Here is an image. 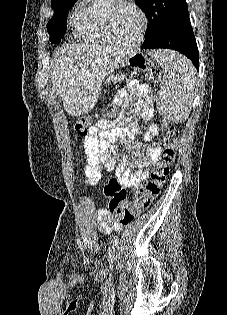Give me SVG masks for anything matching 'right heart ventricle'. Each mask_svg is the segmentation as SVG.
<instances>
[{"label": "right heart ventricle", "mask_w": 227, "mask_h": 315, "mask_svg": "<svg viewBox=\"0 0 227 315\" xmlns=\"http://www.w3.org/2000/svg\"><path fill=\"white\" fill-rule=\"evenodd\" d=\"M112 0H84L71 16L78 35L90 43L108 44L111 40L105 28V12Z\"/></svg>", "instance_id": "obj_1"}]
</instances>
